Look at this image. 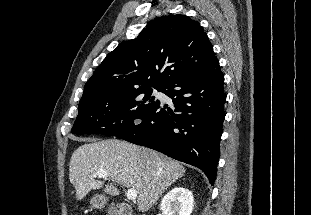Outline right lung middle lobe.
Returning <instances> with one entry per match:
<instances>
[{
    "label": "right lung middle lobe",
    "mask_w": 311,
    "mask_h": 215,
    "mask_svg": "<svg viewBox=\"0 0 311 215\" xmlns=\"http://www.w3.org/2000/svg\"><path fill=\"white\" fill-rule=\"evenodd\" d=\"M162 92L163 88H155ZM151 87L107 92L80 100L73 134L116 136L132 129L160 104Z\"/></svg>",
    "instance_id": "obj_1"
}]
</instances>
